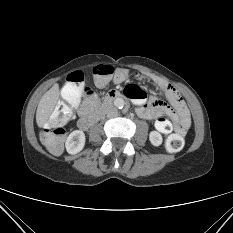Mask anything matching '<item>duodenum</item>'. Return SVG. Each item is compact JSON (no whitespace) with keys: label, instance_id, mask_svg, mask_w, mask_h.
<instances>
[{"label":"duodenum","instance_id":"duodenum-1","mask_svg":"<svg viewBox=\"0 0 233 233\" xmlns=\"http://www.w3.org/2000/svg\"><path fill=\"white\" fill-rule=\"evenodd\" d=\"M123 94L119 91H111L106 95L101 107L92 115L81 117L78 125L82 130L89 129L94 123H96L102 114L109 108V106L117 99L122 98Z\"/></svg>","mask_w":233,"mask_h":233}]
</instances>
